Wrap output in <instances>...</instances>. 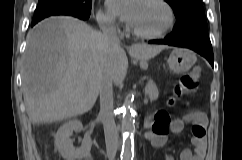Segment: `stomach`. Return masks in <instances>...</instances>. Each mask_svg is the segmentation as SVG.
Here are the masks:
<instances>
[{
	"label": "stomach",
	"instance_id": "stomach-1",
	"mask_svg": "<svg viewBox=\"0 0 242 160\" xmlns=\"http://www.w3.org/2000/svg\"><path fill=\"white\" fill-rule=\"evenodd\" d=\"M195 62V54L191 50L185 48H175L167 61L170 70L177 74L187 72Z\"/></svg>",
	"mask_w": 242,
	"mask_h": 160
}]
</instances>
